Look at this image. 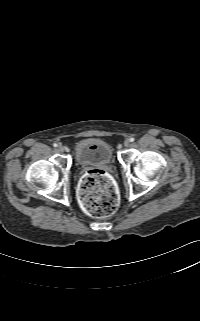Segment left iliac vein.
I'll use <instances>...</instances> for the list:
<instances>
[{"label": "left iliac vein", "mask_w": 200, "mask_h": 321, "mask_svg": "<svg viewBox=\"0 0 200 321\" xmlns=\"http://www.w3.org/2000/svg\"><path fill=\"white\" fill-rule=\"evenodd\" d=\"M124 146H125V147H129V146H130V140L126 139V140L124 141Z\"/></svg>", "instance_id": "1"}]
</instances>
